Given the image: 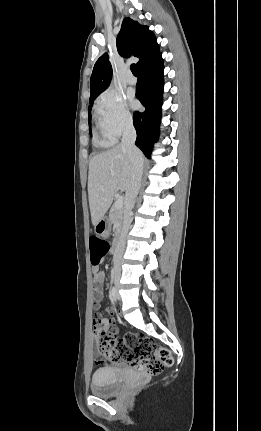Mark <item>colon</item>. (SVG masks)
<instances>
[{
  "label": "colon",
  "instance_id": "colon-1",
  "mask_svg": "<svg viewBox=\"0 0 261 431\" xmlns=\"http://www.w3.org/2000/svg\"><path fill=\"white\" fill-rule=\"evenodd\" d=\"M109 243L99 237L90 238V260L98 266L107 256ZM96 349L103 358L118 366H130L149 375L159 374L173 363L171 352L142 335L127 333L117 338L112 332H101L96 335Z\"/></svg>",
  "mask_w": 261,
  "mask_h": 431
}]
</instances>
